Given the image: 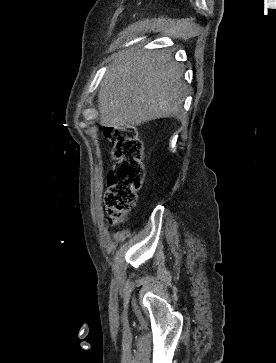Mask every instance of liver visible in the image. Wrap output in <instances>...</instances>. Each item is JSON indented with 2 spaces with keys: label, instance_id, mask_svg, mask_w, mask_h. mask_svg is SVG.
<instances>
[{
  "label": "liver",
  "instance_id": "6515ba94",
  "mask_svg": "<svg viewBox=\"0 0 276 363\" xmlns=\"http://www.w3.org/2000/svg\"><path fill=\"white\" fill-rule=\"evenodd\" d=\"M182 75L181 66L164 51L137 50L119 56L100 85V124L119 128L181 118L186 90Z\"/></svg>",
  "mask_w": 276,
  "mask_h": 363
}]
</instances>
